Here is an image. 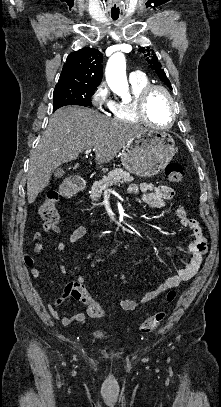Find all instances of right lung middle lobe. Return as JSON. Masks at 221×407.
<instances>
[{
    "instance_id": "1",
    "label": "right lung middle lobe",
    "mask_w": 221,
    "mask_h": 407,
    "mask_svg": "<svg viewBox=\"0 0 221 407\" xmlns=\"http://www.w3.org/2000/svg\"><path fill=\"white\" fill-rule=\"evenodd\" d=\"M95 89L84 85L56 87L53 92V110L66 105L92 106L90 96Z\"/></svg>"
}]
</instances>
